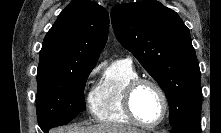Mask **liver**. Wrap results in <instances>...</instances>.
Segmentation results:
<instances>
[{
    "instance_id": "liver-1",
    "label": "liver",
    "mask_w": 221,
    "mask_h": 133,
    "mask_svg": "<svg viewBox=\"0 0 221 133\" xmlns=\"http://www.w3.org/2000/svg\"><path fill=\"white\" fill-rule=\"evenodd\" d=\"M51 133H142V131L125 125L100 123L87 127L78 124L60 127L52 130Z\"/></svg>"
}]
</instances>
